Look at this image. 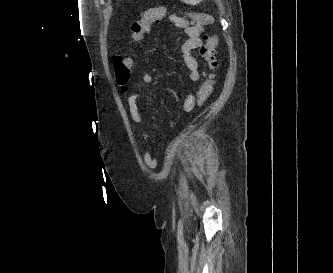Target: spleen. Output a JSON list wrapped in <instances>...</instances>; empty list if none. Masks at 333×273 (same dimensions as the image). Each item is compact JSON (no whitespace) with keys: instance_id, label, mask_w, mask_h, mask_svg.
I'll return each mask as SVG.
<instances>
[{"instance_id":"obj_1","label":"spleen","mask_w":333,"mask_h":273,"mask_svg":"<svg viewBox=\"0 0 333 273\" xmlns=\"http://www.w3.org/2000/svg\"><path fill=\"white\" fill-rule=\"evenodd\" d=\"M182 2H185L187 4H192V5H196L199 2L203 1V0H181Z\"/></svg>"}]
</instances>
